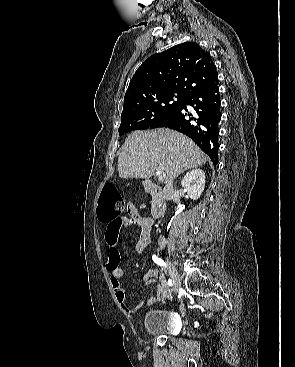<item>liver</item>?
<instances>
[{
	"mask_svg": "<svg viewBox=\"0 0 295 367\" xmlns=\"http://www.w3.org/2000/svg\"><path fill=\"white\" fill-rule=\"evenodd\" d=\"M207 156L187 136L167 129L134 131L126 139L118 158L120 178L149 179L156 170L165 182L182 172L202 166Z\"/></svg>",
	"mask_w": 295,
	"mask_h": 367,
	"instance_id": "6515ba94",
	"label": "liver"
}]
</instances>
